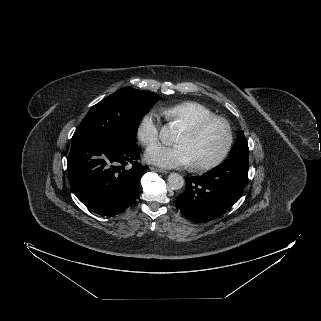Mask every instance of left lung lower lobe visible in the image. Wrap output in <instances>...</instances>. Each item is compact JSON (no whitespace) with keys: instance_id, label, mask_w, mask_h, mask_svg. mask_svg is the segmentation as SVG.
Segmentation results:
<instances>
[{"instance_id":"obj_1","label":"left lung lower lobe","mask_w":321,"mask_h":321,"mask_svg":"<svg viewBox=\"0 0 321 321\" xmlns=\"http://www.w3.org/2000/svg\"><path fill=\"white\" fill-rule=\"evenodd\" d=\"M248 179V158L232 157L203 174L187 178L176 207L189 220L208 222L227 212L241 197Z\"/></svg>"}]
</instances>
